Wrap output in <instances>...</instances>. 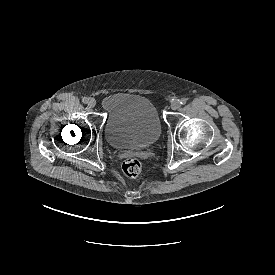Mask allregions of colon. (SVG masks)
<instances>
[{
    "mask_svg": "<svg viewBox=\"0 0 275 275\" xmlns=\"http://www.w3.org/2000/svg\"><path fill=\"white\" fill-rule=\"evenodd\" d=\"M142 169L140 161L136 158H128L122 163L123 174L128 178L137 177Z\"/></svg>",
    "mask_w": 275,
    "mask_h": 275,
    "instance_id": "colon-1",
    "label": "colon"
}]
</instances>
